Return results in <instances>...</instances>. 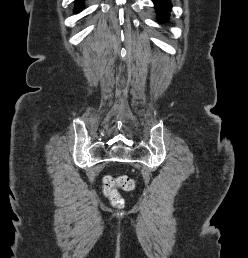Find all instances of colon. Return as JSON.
Wrapping results in <instances>:
<instances>
[{
	"label": "colon",
	"instance_id": "5ec220e1",
	"mask_svg": "<svg viewBox=\"0 0 248 258\" xmlns=\"http://www.w3.org/2000/svg\"><path fill=\"white\" fill-rule=\"evenodd\" d=\"M117 187H120L125 191H132L135 188V182L133 178L126 175L117 178H104L103 191L105 195L110 199L113 205L121 206L123 204V198L118 192Z\"/></svg>",
	"mask_w": 248,
	"mask_h": 258
}]
</instances>
